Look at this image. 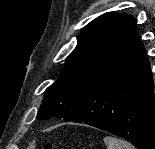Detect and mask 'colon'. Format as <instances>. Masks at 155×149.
<instances>
[{
  "mask_svg": "<svg viewBox=\"0 0 155 149\" xmlns=\"http://www.w3.org/2000/svg\"><path fill=\"white\" fill-rule=\"evenodd\" d=\"M53 145L51 143H46L43 147V149H53Z\"/></svg>",
  "mask_w": 155,
  "mask_h": 149,
  "instance_id": "1",
  "label": "colon"
}]
</instances>
